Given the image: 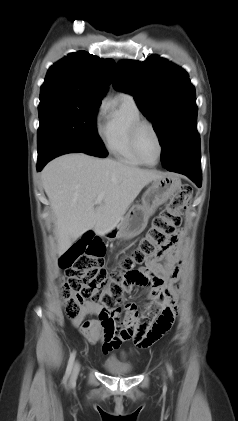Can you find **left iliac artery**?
Segmentation results:
<instances>
[{
  "mask_svg": "<svg viewBox=\"0 0 238 421\" xmlns=\"http://www.w3.org/2000/svg\"><path fill=\"white\" fill-rule=\"evenodd\" d=\"M167 369H168L169 375L172 376V369L169 364H167Z\"/></svg>",
  "mask_w": 238,
  "mask_h": 421,
  "instance_id": "obj_1",
  "label": "left iliac artery"
}]
</instances>
